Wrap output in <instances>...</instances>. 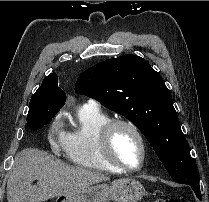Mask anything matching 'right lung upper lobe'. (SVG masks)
<instances>
[{"label":"right lung upper lobe","mask_w":209,"mask_h":202,"mask_svg":"<svg viewBox=\"0 0 209 202\" xmlns=\"http://www.w3.org/2000/svg\"><path fill=\"white\" fill-rule=\"evenodd\" d=\"M46 89L54 92V98L50 103L62 107L66 100V94L58 88V77L56 73H51L49 76L44 78L42 85L38 88V90Z\"/></svg>","instance_id":"1"}]
</instances>
